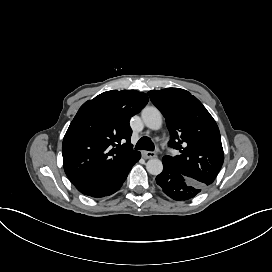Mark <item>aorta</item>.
Listing matches in <instances>:
<instances>
[{
  "label": "aorta",
  "mask_w": 272,
  "mask_h": 272,
  "mask_svg": "<svg viewBox=\"0 0 272 272\" xmlns=\"http://www.w3.org/2000/svg\"><path fill=\"white\" fill-rule=\"evenodd\" d=\"M142 119L145 125L153 131H159L162 128V115L154 106L143 109ZM146 169L150 174L158 175L163 170L162 161L158 158H151L146 163Z\"/></svg>",
  "instance_id": "obj_1"
}]
</instances>
